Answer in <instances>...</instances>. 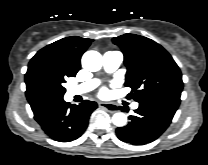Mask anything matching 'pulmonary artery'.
Returning a JSON list of instances; mask_svg holds the SVG:
<instances>
[{"mask_svg": "<svg viewBox=\"0 0 208 165\" xmlns=\"http://www.w3.org/2000/svg\"><path fill=\"white\" fill-rule=\"evenodd\" d=\"M122 61H123V56L120 52L108 51L103 56L104 69L109 73L114 72L121 65ZM97 84H98V80L92 79L79 86L71 87L69 89V92L71 95L83 94L94 89L97 86ZM138 106L139 105L136 102L133 103L132 105L133 109H137Z\"/></svg>", "mask_w": 208, "mask_h": 165, "instance_id": "1", "label": "pulmonary artery"}]
</instances>
